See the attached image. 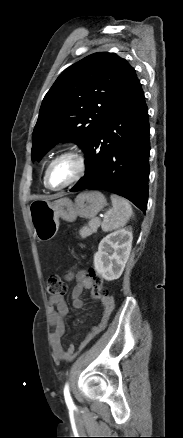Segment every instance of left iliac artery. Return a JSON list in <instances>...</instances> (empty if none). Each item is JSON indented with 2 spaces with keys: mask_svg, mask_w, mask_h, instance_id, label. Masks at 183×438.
<instances>
[{
  "mask_svg": "<svg viewBox=\"0 0 183 438\" xmlns=\"http://www.w3.org/2000/svg\"><path fill=\"white\" fill-rule=\"evenodd\" d=\"M64 398H65V402H66L68 407H73L74 406V403H73L71 395H70L68 384H66L65 387H64Z\"/></svg>",
  "mask_w": 183,
  "mask_h": 438,
  "instance_id": "left-iliac-artery-1",
  "label": "left iliac artery"
}]
</instances>
